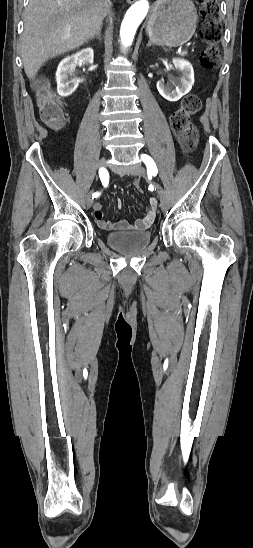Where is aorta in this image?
Returning a JSON list of instances; mask_svg holds the SVG:
<instances>
[{"instance_id": "obj_1", "label": "aorta", "mask_w": 253, "mask_h": 548, "mask_svg": "<svg viewBox=\"0 0 253 548\" xmlns=\"http://www.w3.org/2000/svg\"><path fill=\"white\" fill-rule=\"evenodd\" d=\"M149 10L147 0H138L126 12L120 28V39L123 46L132 44L135 33Z\"/></svg>"}]
</instances>
